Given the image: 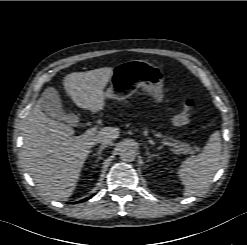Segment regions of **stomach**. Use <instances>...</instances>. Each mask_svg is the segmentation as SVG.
<instances>
[{"label": "stomach", "instance_id": "0dacf381", "mask_svg": "<svg viewBox=\"0 0 247 245\" xmlns=\"http://www.w3.org/2000/svg\"><path fill=\"white\" fill-rule=\"evenodd\" d=\"M163 71L145 60H130L116 65L106 97L123 101L142 87L156 102L163 100Z\"/></svg>", "mask_w": 247, "mask_h": 245}]
</instances>
